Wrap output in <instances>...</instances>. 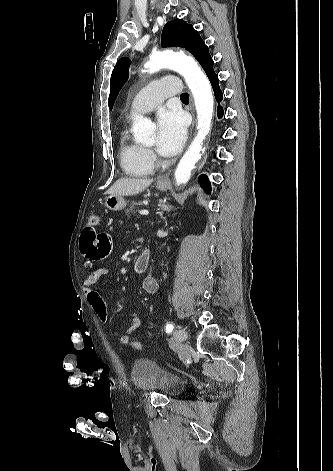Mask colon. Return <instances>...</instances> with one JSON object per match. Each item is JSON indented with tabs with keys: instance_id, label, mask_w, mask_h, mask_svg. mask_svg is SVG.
<instances>
[{
	"instance_id": "5ec220e1",
	"label": "colon",
	"mask_w": 333,
	"mask_h": 471,
	"mask_svg": "<svg viewBox=\"0 0 333 471\" xmlns=\"http://www.w3.org/2000/svg\"><path fill=\"white\" fill-rule=\"evenodd\" d=\"M99 221H100V217L97 214H92L89 217L88 224L91 225L92 227H96V226H98ZM130 346L134 350H137V351L142 350V344H141V342H139L137 340H134V341L130 342Z\"/></svg>"
}]
</instances>
